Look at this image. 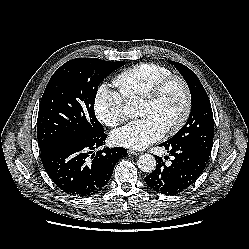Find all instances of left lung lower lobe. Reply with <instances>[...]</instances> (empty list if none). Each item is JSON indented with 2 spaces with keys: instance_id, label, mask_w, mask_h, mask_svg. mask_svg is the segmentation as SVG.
<instances>
[{
  "instance_id": "0a47b994",
  "label": "left lung lower lobe",
  "mask_w": 249,
  "mask_h": 249,
  "mask_svg": "<svg viewBox=\"0 0 249 249\" xmlns=\"http://www.w3.org/2000/svg\"><path fill=\"white\" fill-rule=\"evenodd\" d=\"M171 164L166 165L157 157L156 169L145 177L146 184L154 191L165 195H176L192 185L203 172L209 155L199 149L177 143L163 142ZM169 159L168 156L164 157Z\"/></svg>"
}]
</instances>
